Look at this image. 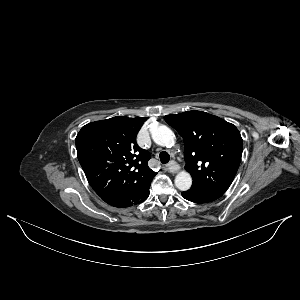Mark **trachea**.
I'll return each mask as SVG.
<instances>
[{"instance_id":"3493384b","label":"trachea","mask_w":300,"mask_h":300,"mask_svg":"<svg viewBox=\"0 0 300 300\" xmlns=\"http://www.w3.org/2000/svg\"><path fill=\"white\" fill-rule=\"evenodd\" d=\"M159 158H160V162H161L162 164H166V163H168L169 160H170V155H169L167 152L162 151V152H160V154H159Z\"/></svg>"}]
</instances>
